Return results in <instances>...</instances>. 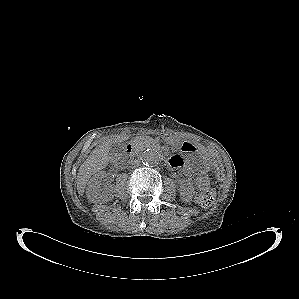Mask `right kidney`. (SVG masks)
Listing matches in <instances>:
<instances>
[{
  "instance_id": "ca27d5eb",
  "label": "right kidney",
  "mask_w": 299,
  "mask_h": 299,
  "mask_svg": "<svg viewBox=\"0 0 299 299\" xmlns=\"http://www.w3.org/2000/svg\"><path fill=\"white\" fill-rule=\"evenodd\" d=\"M106 177L104 171L96 173L88 182L86 195L87 199L93 203L108 202L113 197V186L109 183H105L101 186L100 182Z\"/></svg>"
}]
</instances>
